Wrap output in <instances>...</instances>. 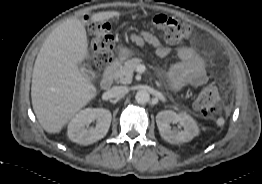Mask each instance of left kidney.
<instances>
[{"label": "left kidney", "instance_id": "1", "mask_svg": "<svg viewBox=\"0 0 262 184\" xmlns=\"http://www.w3.org/2000/svg\"><path fill=\"white\" fill-rule=\"evenodd\" d=\"M171 122L179 123L183 127V130H171ZM156 123L161 137L171 144L188 142L199 134L197 123L185 112L176 113L172 110L161 111L156 115Z\"/></svg>", "mask_w": 262, "mask_h": 184}]
</instances>
